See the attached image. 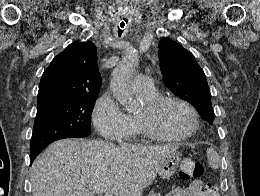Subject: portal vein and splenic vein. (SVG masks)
<instances>
[{"label":"portal vein and splenic vein","instance_id":"portal-vein-and-splenic-vein-1","mask_svg":"<svg viewBox=\"0 0 260 196\" xmlns=\"http://www.w3.org/2000/svg\"><path fill=\"white\" fill-rule=\"evenodd\" d=\"M103 192H95V196H102ZM114 192L109 190V192H104V196H113Z\"/></svg>","mask_w":260,"mask_h":196}]
</instances>
